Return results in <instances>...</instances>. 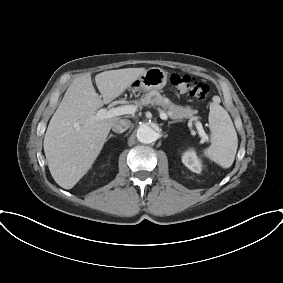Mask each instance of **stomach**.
Here are the masks:
<instances>
[{"label": "stomach", "instance_id": "obj_1", "mask_svg": "<svg viewBox=\"0 0 283 283\" xmlns=\"http://www.w3.org/2000/svg\"><path fill=\"white\" fill-rule=\"evenodd\" d=\"M167 76V72L159 67L149 68L133 83L132 89L146 92L161 90L167 83Z\"/></svg>", "mask_w": 283, "mask_h": 283}]
</instances>
